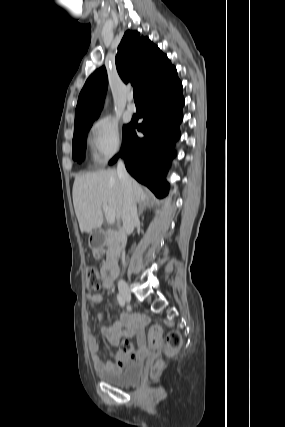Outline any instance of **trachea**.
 I'll list each match as a JSON object with an SVG mask.
<instances>
[{
  "instance_id": "trachea-1",
  "label": "trachea",
  "mask_w": 285,
  "mask_h": 427,
  "mask_svg": "<svg viewBox=\"0 0 285 427\" xmlns=\"http://www.w3.org/2000/svg\"><path fill=\"white\" fill-rule=\"evenodd\" d=\"M133 96H134V100H140L137 88L133 89Z\"/></svg>"
}]
</instances>
